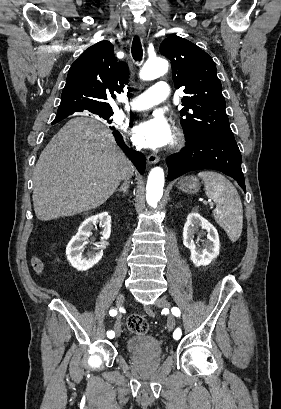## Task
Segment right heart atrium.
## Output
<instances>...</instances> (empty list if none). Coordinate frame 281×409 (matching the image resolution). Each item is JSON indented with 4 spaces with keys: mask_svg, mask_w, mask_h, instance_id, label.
Wrapping results in <instances>:
<instances>
[{
    "mask_svg": "<svg viewBox=\"0 0 281 409\" xmlns=\"http://www.w3.org/2000/svg\"><path fill=\"white\" fill-rule=\"evenodd\" d=\"M123 134L126 136L128 134V127H124L123 128ZM131 143L133 144V146L137 147V144L134 142V140L131 138Z\"/></svg>",
    "mask_w": 281,
    "mask_h": 409,
    "instance_id": "1",
    "label": "right heart atrium"
}]
</instances>
